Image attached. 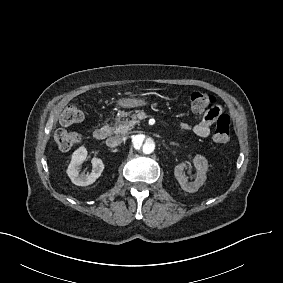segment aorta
Segmentation results:
<instances>
[{"label": "aorta", "instance_id": "762f6f07", "mask_svg": "<svg viewBox=\"0 0 283 283\" xmlns=\"http://www.w3.org/2000/svg\"><path fill=\"white\" fill-rule=\"evenodd\" d=\"M157 149L155 138L146 132H138L131 136L130 151L142 159L152 156Z\"/></svg>", "mask_w": 283, "mask_h": 283}]
</instances>
